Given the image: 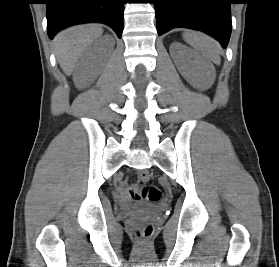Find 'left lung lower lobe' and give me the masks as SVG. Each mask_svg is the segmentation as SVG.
I'll return each instance as SVG.
<instances>
[{"label": "left lung lower lobe", "instance_id": "obj_1", "mask_svg": "<svg viewBox=\"0 0 279 267\" xmlns=\"http://www.w3.org/2000/svg\"><path fill=\"white\" fill-rule=\"evenodd\" d=\"M158 35L177 28L203 31L226 48L231 34V0H154Z\"/></svg>", "mask_w": 279, "mask_h": 267}]
</instances>
